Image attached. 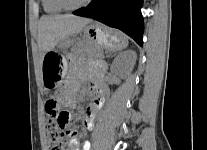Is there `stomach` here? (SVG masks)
Here are the masks:
<instances>
[{"mask_svg": "<svg viewBox=\"0 0 207 150\" xmlns=\"http://www.w3.org/2000/svg\"><path fill=\"white\" fill-rule=\"evenodd\" d=\"M128 44L127 38L119 32H109L99 24L86 25L80 32L77 46L80 53L93 59H100L103 50L118 51ZM92 48L99 49L92 52ZM68 68L65 53L52 49L44 54L42 74L43 83L47 90L59 89L64 84V77Z\"/></svg>", "mask_w": 207, "mask_h": 150, "instance_id": "obj_1", "label": "stomach"}]
</instances>
